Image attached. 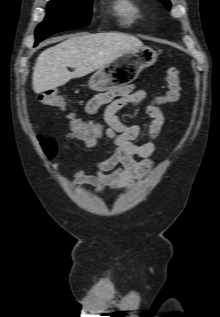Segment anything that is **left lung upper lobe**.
Returning <instances> with one entry per match:
<instances>
[{
    "mask_svg": "<svg viewBox=\"0 0 220 317\" xmlns=\"http://www.w3.org/2000/svg\"><path fill=\"white\" fill-rule=\"evenodd\" d=\"M159 1H161L167 7V9H170V2L168 0H159Z\"/></svg>",
    "mask_w": 220,
    "mask_h": 317,
    "instance_id": "obj_1",
    "label": "left lung upper lobe"
}]
</instances>
